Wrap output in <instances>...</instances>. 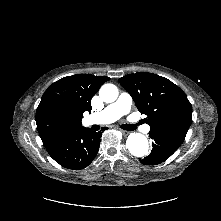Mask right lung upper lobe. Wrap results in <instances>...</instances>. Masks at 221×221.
<instances>
[{
	"label": "right lung upper lobe",
	"mask_w": 221,
	"mask_h": 221,
	"mask_svg": "<svg viewBox=\"0 0 221 221\" xmlns=\"http://www.w3.org/2000/svg\"><path fill=\"white\" fill-rule=\"evenodd\" d=\"M108 80L106 76L76 74L48 87L36 110L37 130L45 147L84 129L83 113L91 112L92 97Z\"/></svg>",
	"instance_id": "right-lung-upper-lobe-1"
}]
</instances>
